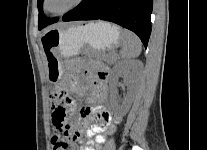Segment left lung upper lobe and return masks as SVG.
I'll return each mask as SVG.
<instances>
[{
  "instance_id": "5c2ea615",
  "label": "left lung upper lobe",
  "mask_w": 207,
  "mask_h": 150,
  "mask_svg": "<svg viewBox=\"0 0 207 150\" xmlns=\"http://www.w3.org/2000/svg\"><path fill=\"white\" fill-rule=\"evenodd\" d=\"M42 4H43V0H38V10H39L38 26H39V29H42L45 26L58 21V18L50 19L44 15V13L42 11V9H43Z\"/></svg>"
}]
</instances>
